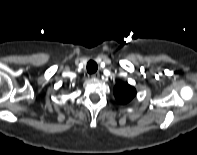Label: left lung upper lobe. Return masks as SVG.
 I'll use <instances>...</instances> for the list:
<instances>
[{
  "instance_id": "1",
  "label": "left lung upper lobe",
  "mask_w": 197,
  "mask_h": 155,
  "mask_svg": "<svg viewBox=\"0 0 197 155\" xmlns=\"http://www.w3.org/2000/svg\"><path fill=\"white\" fill-rule=\"evenodd\" d=\"M114 95L119 103L126 104L135 97L136 90L128 83L118 82L114 88Z\"/></svg>"
}]
</instances>
